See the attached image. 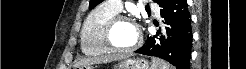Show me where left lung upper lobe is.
I'll return each instance as SVG.
<instances>
[{
	"label": "left lung upper lobe",
	"instance_id": "5c2ea615",
	"mask_svg": "<svg viewBox=\"0 0 246 69\" xmlns=\"http://www.w3.org/2000/svg\"><path fill=\"white\" fill-rule=\"evenodd\" d=\"M103 0H90V6L89 9L94 8L96 5H98L99 3H101ZM154 2L158 3L160 5V7L162 5H164L165 3L168 2V0H154Z\"/></svg>",
	"mask_w": 246,
	"mask_h": 69
}]
</instances>
